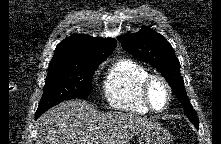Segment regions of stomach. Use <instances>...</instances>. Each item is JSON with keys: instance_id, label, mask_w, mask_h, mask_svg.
<instances>
[{"instance_id": "0dacf381", "label": "stomach", "mask_w": 221, "mask_h": 144, "mask_svg": "<svg viewBox=\"0 0 221 144\" xmlns=\"http://www.w3.org/2000/svg\"><path fill=\"white\" fill-rule=\"evenodd\" d=\"M139 144H171L172 137L168 130L159 124L145 128L138 138Z\"/></svg>"}]
</instances>
